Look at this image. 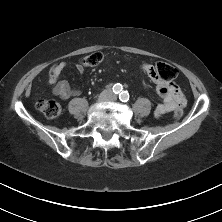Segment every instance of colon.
I'll list each match as a JSON object with an SVG mask.
<instances>
[{
  "label": "colon",
  "instance_id": "colon-1",
  "mask_svg": "<svg viewBox=\"0 0 222 222\" xmlns=\"http://www.w3.org/2000/svg\"><path fill=\"white\" fill-rule=\"evenodd\" d=\"M104 58H105V54L103 52L94 51L84 56L81 60V63L83 66H86V67H94L102 63ZM152 66L155 67V69L160 73L163 79L168 83L172 82L177 76L176 69L168 63L159 62V63L153 64ZM36 104H37L38 109L48 119L57 118L61 114V111H62L61 105L59 102L55 100L49 99L45 96H40L37 99ZM182 114H183L182 109L178 108L174 110L173 117L175 119H180Z\"/></svg>",
  "mask_w": 222,
  "mask_h": 222
}]
</instances>
